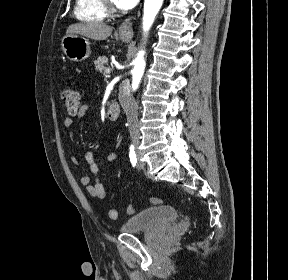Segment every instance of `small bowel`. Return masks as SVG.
<instances>
[{
  "mask_svg": "<svg viewBox=\"0 0 288 280\" xmlns=\"http://www.w3.org/2000/svg\"><path fill=\"white\" fill-rule=\"evenodd\" d=\"M89 111V106L82 105L78 112L75 114L77 117H84ZM63 124L67 128H71L73 126V118L66 117L63 121ZM116 158V154L114 152L108 155V160L113 161ZM85 161L89 170L88 174H84L80 178V183L86 188L87 192L96 198L105 199L109 191L102 184L99 178V167L98 164L92 154H87L85 157ZM72 162L74 164H78V160L76 157L72 158Z\"/></svg>",
  "mask_w": 288,
  "mask_h": 280,
  "instance_id": "obj_1",
  "label": "small bowel"
}]
</instances>
